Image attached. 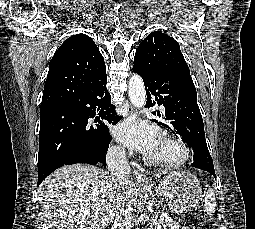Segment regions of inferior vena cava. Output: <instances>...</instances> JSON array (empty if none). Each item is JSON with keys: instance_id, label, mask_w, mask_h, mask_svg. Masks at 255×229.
<instances>
[{"instance_id": "inferior-vena-cava-1", "label": "inferior vena cava", "mask_w": 255, "mask_h": 229, "mask_svg": "<svg viewBox=\"0 0 255 229\" xmlns=\"http://www.w3.org/2000/svg\"><path fill=\"white\" fill-rule=\"evenodd\" d=\"M107 167L119 188L130 181L131 168L128 164L125 149L110 148L107 152ZM134 212L131 203L124 195L119 194L115 208V224L119 229H133Z\"/></svg>"}]
</instances>
